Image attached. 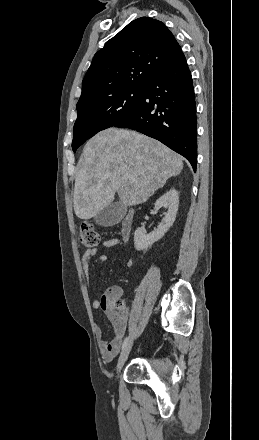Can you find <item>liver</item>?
<instances>
[{"label": "liver", "instance_id": "6515ba94", "mask_svg": "<svg viewBox=\"0 0 259 440\" xmlns=\"http://www.w3.org/2000/svg\"><path fill=\"white\" fill-rule=\"evenodd\" d=\"M182 169L181 156L156 139L108 128L87 142L79 160L75 214L80 219L95 217L113 202L116 193L124 206L144 203Z\"/></svg>", "mask_w": 259, "mask_h": 440}]
</instances>
